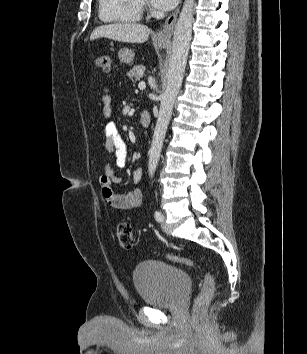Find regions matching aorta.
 I'll return each mask as SVG.
<instances>
[{
  "label": "aorta",
  "mask_w": 307,
  "mask_h": 354,
  "mask_svg": "<svg viewBox=\"0 0 307 354\" xmlns=\"http://www.w3.org/2000/svg\"><path fill=\"white\" fill-rule=\"evenodd\" d=\"M195 0H185L174 30L172 55L168 64L167 86L161 97L159 115L149 150L148 172L153 177L170 122L174 102L180 91L192 37Z\"/></svg>",
  "instance_id": "762f6f07"
}]
</instances>
